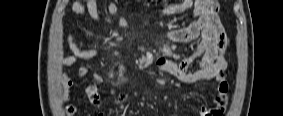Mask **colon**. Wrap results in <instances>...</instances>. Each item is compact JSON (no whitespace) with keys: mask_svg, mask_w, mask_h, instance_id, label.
I'll return each instance as SVG.
<instances>
[{"mask_svg":"<svg viewBox=\"0 0 283 116\" xmlns=\"http://www.w3.org/2000/svg\"><path fill=\"white\" fill-rule=\"evenodd\" d=\"M225 107V105L221 106L218 111H216V115H221L224 112Z\"/></svg>","mask_w":283,"mask_h":116,"instance_id":"5ec220e1","label":"colon"}]
</instances>
